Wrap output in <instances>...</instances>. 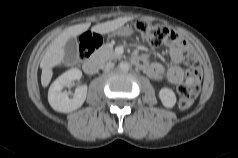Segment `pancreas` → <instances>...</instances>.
I'll list each match as a JSON object with an SVG mask.
<instances>
[{"label": "pancreas", "mask_w": 238, "mask_h": 158, "mask_svg": "<svg viewBox=\"0 0 238 158\" xmlns=\"http://www.w3.org/2000/svg\"><path fill=\"white\" fill-rule=\"evenodd\" d=\"M92 57L96 60H98L99 62H105L108 60H112V59H116V58H120V56H118L113 48L109 45H103L102 47H100L93 55Z\"/></svg>", "instance_id": "1"}]
</instances>
